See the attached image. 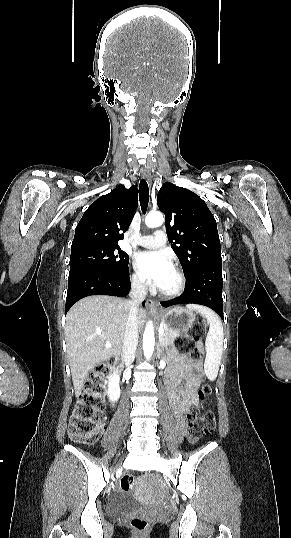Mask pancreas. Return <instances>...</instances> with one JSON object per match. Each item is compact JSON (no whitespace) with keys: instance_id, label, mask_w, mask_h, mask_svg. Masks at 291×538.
Segmentation results:
<instances>
[{"instance_id":"pancreas-1","label":"pancreas","mask_w":291,"mask_h":538,"mask_svg":"<svg viewBox=\"0 0 291 538\" xmlns=\"http://www.w3.org/2000/svg\"><path fill=\"white\" fill-rule=\"evenodd\" d=\"M178 336L179 332H175L165 328L164 332L159 336V341L163 346L170 345Z\"/></svg>"}]
</instances>
